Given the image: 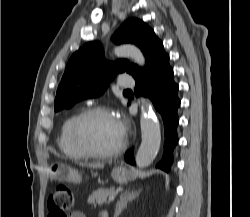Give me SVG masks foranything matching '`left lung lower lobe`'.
<instances>
[{"label": "left lung lower lobe", "mask_w": 250, "mask_h": 217, "mask_svg": "<svg viewBox=\"0 0 250 217\" xmlns=\"http://www.w3.org/2000/svg\"><path fill=\"white\" fill-rule=\"evenodd\" d=\"M134 79L135 95L148 97L163 119L164 154L157 167L169 171L173 162L172 152L178 142L176 129L179 123L177 109L180 100L177 96L178 85L173 80V69L169 65V55L164 51L162 42L157 45L145 69L135 75ZM125 160L135 164L133 150L126 153Z\"/></svg>", "instance_id": "left-lung-lower-lobe-1"}]
</instances>
